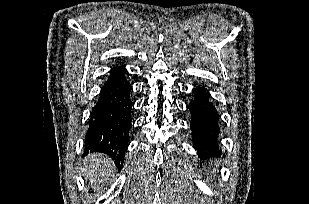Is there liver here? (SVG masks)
I'll return each mask as SVG.
<instances>
[{
    "mask_svg": "<svg viewBox=\"0 0 309 204\" xmlns=\"http://www.w3.org/2000/svg\"><path fill=\"white\" fill-rule=\"evenodd\" d=\"M83 171L94 189H101L114 171L113 161L106 155L91 154L84 160Z\"/></svg>",
    "mask_w": 309,
    "mask_h": 204,
    "instance_id": "liver-1",
    "label": "liver"
}]
</instances>
